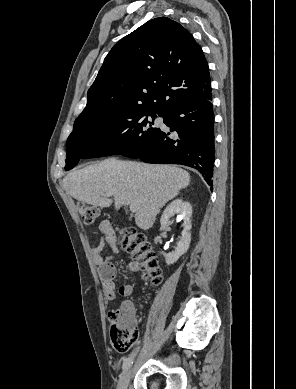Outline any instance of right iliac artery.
<instances>
[{"label": "right iliac artery", "instance_id": "1", "mask_svg": "<svg viewBox=\"0 0 296 389\" xmlns=\"http://www.w3.org/2000/svg\"><path fill=\"white\" fill-rule=\"evenodd\" d=\"M135 355H136V351L132 352L128 358L124 359L123 370H127L131 366Z\"/></svg>", "mask_w": 296, "mask_h": 389}]
</instances>
